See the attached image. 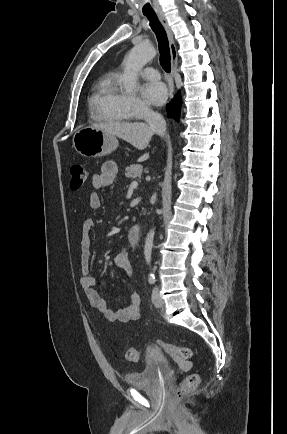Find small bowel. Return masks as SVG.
I'll list each match as a JSON object with an SVG mask.
<instances>
[{
    "label": "small bowel",
    "instance_id": "1",
    "mask_svg": "<svg viewBox=\"0 0 287 434\" xmlns=\"http://www.w3.org/2000/svg\"><path fill=\"white\" fill-rule=\"evenodd\" d=\"M117 175V166L113 161H105L100 167V172L93 174L91 185L95 189H102L110 186ZM88 206L92 210H97L101 207V198L97 193H90L88 196ZM96 228L94 220L87 219L82 225V231L79 240L80 248V268L81 278L80 285L83 289L90 306L102 312L106 319L111 322H130L140 316V296L133 293L129 297L128 305L120 310H113L108 306L107 301L102 298L95 290L94 286L98 283V279L90 274L89 260L91 255V231ZM113 265L119 269L124 275L129 276L132 272L130 262V252L128 248L120 251L113 259ZM191 363H184L185 369H190Z\"/></svg>",
    "mask_w": 287,
    "mask_h": 434
}]
</instances>
